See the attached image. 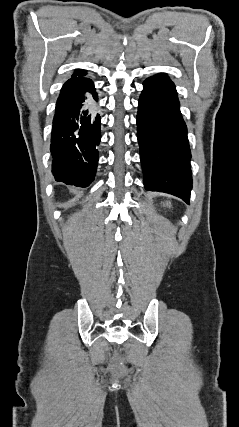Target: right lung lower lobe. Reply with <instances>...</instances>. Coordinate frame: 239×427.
Wrapping results in <instances>:
<instances>
[{
	"label": "right lung lower lobe",
	"mask_w": 239,
	"mask_h": 427,
	"mask_svg": "<svg viewBox=\"0 0 239 427\" xmlns=\"http://www.w3.org/2000/svg\"><path fill=\"white\" fill-rule=\"evenodd\" d=\"M85 74L72 75L61 89L50 146L55 180L79 187L94 180L101 139L98 96Z\"/></svg>",
	"instance_id": "1"
}]
</instances>
